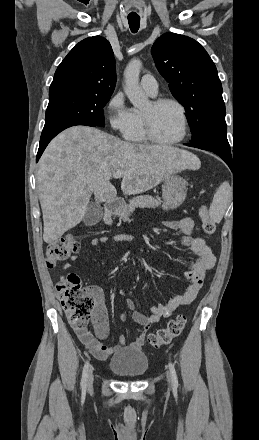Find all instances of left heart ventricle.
Returning <instances> with one entry per match:
<instances>
[{
    "instance_id": "obj_1",
    "label": "left heart ventricle",
    "mask_w": 259,
    "mask_h": 440,
    "mask_svg": "<svg viewBox=\"0 0 259 440\" xmlns=\"http://www.w3.org/2000/svg\"><path fill=\"white\" fill-rule=\"evenodd\" d=\"M150 115L156 135L163 140H174L182 133V120L178 108L172 104L153 107L150 103L143 111Z\"/></svg>"
}]
</instances>
